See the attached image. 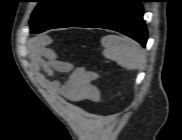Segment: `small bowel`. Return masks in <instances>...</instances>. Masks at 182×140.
Segmentation results:
<instances>
[{"label": "small bowel", "mask_w": 182, "mask_h": 140, "mask_svg": "<svg viewBox=\"0 0 182 140\" xmlns=\"http://www.w3.org/2000/svg\"><path fill=\"white\" fill-rule=\"evenodd\" d=\"M42 57L47 64L49 76H52V70L68 73L64 80L48 78L44 74H39L40 83L50 93L58 94L71 102L99 100L100 91L94 84V81L98 78L97 73L84 67H73L69 62L60 61L56 53L51 49H45Z\"/></svg>", "instance_id": "obj_1"}]
</instances>
